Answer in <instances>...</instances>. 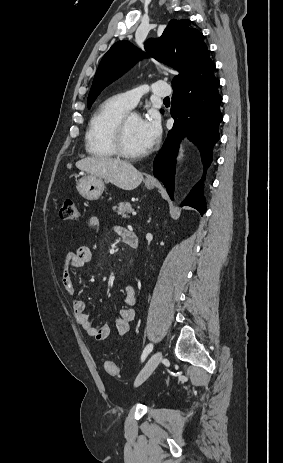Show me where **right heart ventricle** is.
I'll return each mask as SVG.
<instances>
[{"label": "right heart ventricle", "instance_id": "e07e8e85", "mask_svg": "<svg viewBox=\"0 0 283 463\" xmlns=\"http://www.w3.org/2000/svg\"><path fill=\"white\" fill-rule=\"evenodd\" d=\"M118 96L107 98L92 114L85 135V148L89 155L111 158L116 155L113 133L119 119L128 112Z\"/></svg>", "mask_w": 283, "mask_h": 463}]
</instances>
